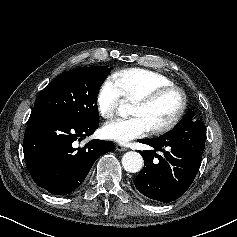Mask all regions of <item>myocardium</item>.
Wrapping results in <instances>:
<instances>
[{
  "instance_id": "f54148a6",
  "label": "myocardium",
  "mask_w": 237,
  "mask_h": 237,
  "mask_svg": "<svg viewBox=\"0 0 237 237\" xmlns=\"http://www.w3.org/2000/svg\"><path fill=\"white\" fill-rule=\"evenodd\" d=\"M177 93L180 97V105L179 108L176 112V114L174 115V117L168 121L167 123L151 128L150 129V133L152 135H161L163 133H166L170 130H172L182 119L186 108H187V96L186 93L184 92L183 89H181L178 86H163V87H158L155 88L151 91H149L148 93L138 97L134 103H138V104H143V105H148L153 103L154 101H156L158 98H160L161 96L167 94V93Z\"/></svg>"
}]
</instances>
